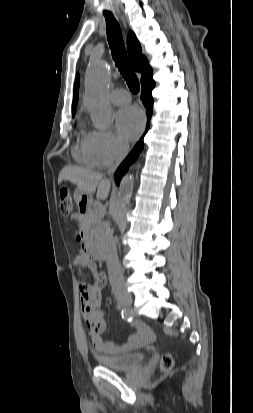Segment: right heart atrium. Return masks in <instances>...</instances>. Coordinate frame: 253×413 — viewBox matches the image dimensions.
I'll use <instances>...</instances> for the list:
<instances>
[{
    "mask_svg": "<svg viewBox=\"0 0 253 413\" xmlns=\"http://www.w3.org/2000/svg\"><path fill=\"white\" fill-rule=\"evenodd\" d=\"M88 143L100 166L113 164L127 151V145L109 130L89 133Z\"/></svg>",
    "mask_w": 253,
    "mask_h": 413,
    "instance_id": "obj_1",
    "label": "right heart atrium"
}]
</instances>
